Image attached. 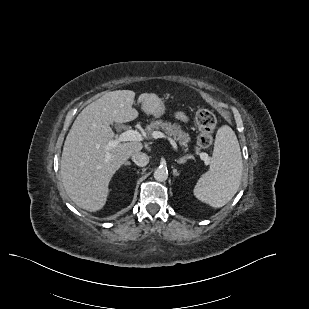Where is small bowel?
Masks as SVG:
<instances>
[{
  "mask_svg": "<svg viewBox=\"0 0 309 309\" xmlns=\"http://www.w3.org/2000/svg\"><path fill=\"white\" fill-rule=\"evenodd\" d=\"M177 118L180 119L181 121H186V116L182 113H177L176 114Z\"/></svg>",
  "mask_w": 309,
  "mask_h": 309,
  "instance_id": "obj_1",
  "label": "small bowel"
}]
</instances>
